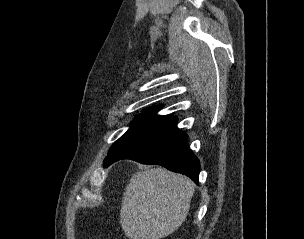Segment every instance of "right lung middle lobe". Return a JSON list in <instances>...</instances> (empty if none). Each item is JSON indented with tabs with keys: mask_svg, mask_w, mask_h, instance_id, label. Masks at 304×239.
I'll list each match as a JSON object with an SVG mask.
<instances>
[{
	"mask_svg": "<svg viewBox=\"0 0 304 239\" xmlns=\"http://www.w3.org/2000/svg\"><path fill=\"white\" fill-rule=\"evenodd\" d=\"M168 122L169 121L164 118L154 117L146 114L137 115L129 130L112 145L108 155L126 146L132 141L147 135L153 130L162 127Z\"/></svg>",
	"mask_w": 304,
	"mask_h": 239,
	"instance_id": "right-lung-middle-lobe-1",
	"label": "right lung middle lobe"
}]
</instances>
